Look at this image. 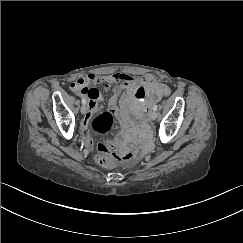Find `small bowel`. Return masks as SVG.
<instances>
[{
    "label": "small bowel",
    "mask_w": 243,
    "mask_h": 243,
    "mask_svg": "<svg viewBox=\"0 0 243 243\" xmlns=\"http://www.w3.org/2000/svg\"><path fill=\"white\" fill-rule=\"evenodd\" d=\"M115 82H118V85L114 88V94L109 100V107L119 121L127 127L134 126V121L129 114L130 111L136 116H141L154 103L169 93V88L159 83L152 75L135 78L124 73L109 75L89 74L75 79L70 84L71 91L76 95L85 96L88 99L89 113L81 124L83 142L87 148H91L93 145L89 135V126L92 119L91 113L100 107L98 104L100 92L94 85L103 83L106 88H109ZM123 90H125V94L119 100Z\"/></svg>",
    "instance_id": "small-bowel-1"
}]
</instances>
